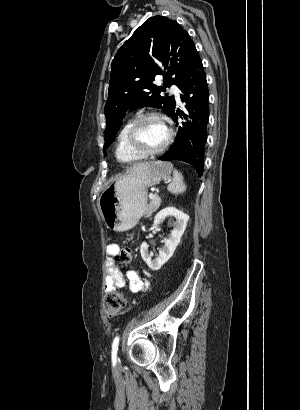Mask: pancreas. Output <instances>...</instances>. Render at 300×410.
Here are the masks:
<instances>
[{
    "label": "pancreas",
    "instance_id": "obj_1",
    "mask_svg": "<svg viewBox=\"0 0 300 410\" xmlns=\"http://www.w3.org/2000/svg\"><path fill=\"white\" fill-rule=\"evenodd\" d=\"M160 206V198H155L146 204L144 208V216L150 217Z\"/></svg>",
    "mask_w": 300,
    "mask_h": 410
}]
</instances>
